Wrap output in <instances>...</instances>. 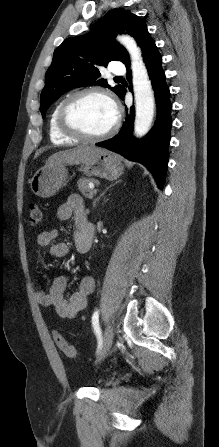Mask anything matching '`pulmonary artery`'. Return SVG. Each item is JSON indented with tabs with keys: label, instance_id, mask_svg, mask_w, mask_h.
Instances as JSON below:
<instances>
[{
	"label": "pulmonary artery",
	"instance_id": "obj_1",
	"mask_svg": "<svg viewBox=\"0 0 219 447\" xmlns=\"http://www.w3.org/2000/svg\"><path fill=\"white\" fill-rule=\"evenodd\" d=\"M111 73L114 75H122L126 72L125 66L121 62H115L112 64Z\"/></svg>",
	"mask_w": 219,
	"mask_h": 447
}]
</instances>
